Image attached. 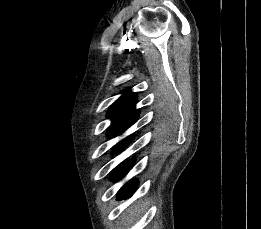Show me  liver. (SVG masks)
<instances>
[{"instance_id":"6515ba94","label":"liver","mask_w":261,"mask_h":229,"mask_svg":"<svg viewBox=\"0 0 261 229\" xmlns=\"http://www.w3.org/2000/svg\"><path fill=\"white\" fill-rule=\"evenodd\" d=\"M139 213V205H136V207H131L130 211L126 213L129 217L128 223H130V227H132L133 219H135L136 215Z\"/></svg>"}]
</instances>
